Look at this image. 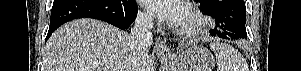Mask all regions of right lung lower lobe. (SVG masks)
<instances>
[{
  "instance_id": "right-lung-lower-lobe-1",
  "label": "right lung lower lobe",
  "mask_w": 301,
  "mask_h": 71,
  "mask_svg": "<svg viewBox=\"0 0 301 71\" xmlns=\"http://www.w3.org/2000/svg\"><path fill=\"white\" fill-rule=\"evenodd\" d=\"M135 0H54L46 40L64 23L78 18H94L120 29L129 27L137 16Z\"/></svg>"
}]
</instances>
